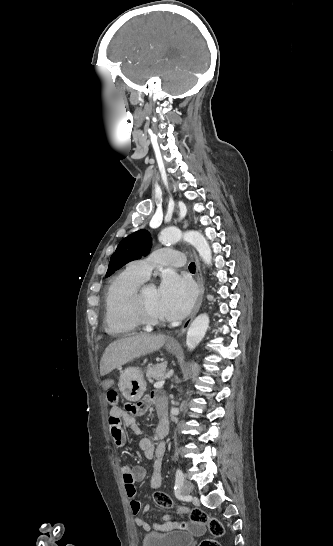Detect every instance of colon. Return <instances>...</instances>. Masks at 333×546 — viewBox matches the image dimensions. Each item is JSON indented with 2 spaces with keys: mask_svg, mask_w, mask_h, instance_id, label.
<instances>
[{
  "mask_svg": "<svg viewBox=\"0 0 333 546\" xmlns=\"http://www.w3.org/2000/svg\"><path fill=\"white\" fill-rule=\"evenodd\" d=\"M107 399L111 405H116L118 403V393L114 390H110L107 393ZM154 503L162 509H173L176 508L180 512H187L189 514L190 520L195 524H206L210 530V533L214 537H219L223 534V525L220 520L216 517L210 516L203 509L195 507L188 509L186 507L177 506L175 507L173 499L165 492H155L153 494ZM201 546H219L215 540H205L202 542Z\"/></svg>",
  "mask_w": 333,
  "mask_h": 546,
  "instance_id": "colon-1",
  "label": "colon"
}]
</instances>
